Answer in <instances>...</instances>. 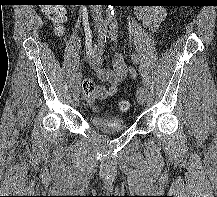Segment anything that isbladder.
I'll use <instances>...</instances> for the list:
<instances>
[{
    "mask_svg": "<svg viewBox=\"0 0 217 197\" xmlns=\"http://www.w3.org/2000/svg\"><path fill=\"white\" fill-rule=\"evenodd\" d=\"M92 126L106 134H116L126 131L124 119L120 116L95 117L91 120Z\"/></svg>",
    "mask_w": 217,
    "mask_h": 197,
    "instance_id": "31cf9c89",
    "label": "bladder"
}]
</instances>
